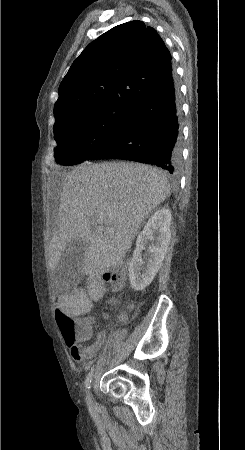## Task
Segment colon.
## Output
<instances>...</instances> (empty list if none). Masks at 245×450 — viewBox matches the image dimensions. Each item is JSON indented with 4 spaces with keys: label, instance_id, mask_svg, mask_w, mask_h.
<instances>
[{
    "label": "colon",
    "instance_id": "1",
    "mask_svg": "<svg viewBox=\"0 0 245 450\" xmlns=\"http://www.w3.org/2000/svg\"><path fill=\"white\" fill-rule=\"evenodd\" d=\"M126 277L127 272L124 265L119 266L112 272L103 274V279L111 282L115 290H120L123 287ZM57 299L56 296L55 300ZM56 326L68 344H72L74 341H86L92 333L91 323L77 319L60 309L56 313Z\"/></svg>",
    "mask_w": 245,
    "mask_h": 450
}]
</instances>
